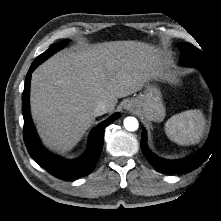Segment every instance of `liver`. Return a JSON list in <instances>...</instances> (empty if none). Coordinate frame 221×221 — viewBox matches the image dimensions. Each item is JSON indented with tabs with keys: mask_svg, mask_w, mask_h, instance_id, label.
<instances>
[{
	"mask_svg": "<svg viewBox=\"0 0 221 221\" xmlns=\"http://www.w3.org/2000/svg\"><path fill=\"white\" fill-rule=\"evenodd\" d=\"M157 49L137 41L85 45L55 54L31 78V113L44 144L64 153L94 123L100 102L142 90L160 69Z\"/></svg>",
	"mask_w": 221,
	"mask_h": 221,
	"instance_id": "1",
	"label": "liver"
}]
</instances>
